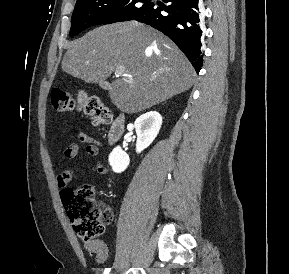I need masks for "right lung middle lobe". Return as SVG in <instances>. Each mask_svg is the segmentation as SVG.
Instances as JSON below:
<instances>
[{
	"label": "right lung middle lobe",
	"instance_id": "1",
	"mask_svg": "<svg viewBox=\"0 0 289 274\" xmlns=\"http://www.w3.org/2000/svg\"><path fill=\"white\" fill-rule=\"evenodd\" d=\"M151 4L150 0H77L69 35L93 25L134 20Z\"/></svg>",
	"mask_w": 289,
	"mask_h": 274
}]
</instances>
